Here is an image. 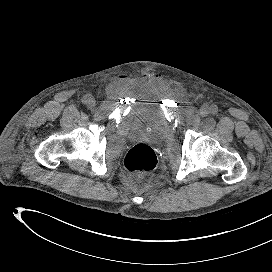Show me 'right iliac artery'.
<instances>
[{"label": "right iliac artery", "mask_w": 272, "mask_h": 272, "mask_svg": "<svg viewBox=\"0 0 272 272\" xmlns=\"http://www.w3.org/2000/svg\"><path fill=\"white\" fill-rule=\"evenodd\" d=\"M89 101V98L87 96L83 97L82 103L87 104Z\"/></svg>", "instance_id": "1"}]
</instances>
